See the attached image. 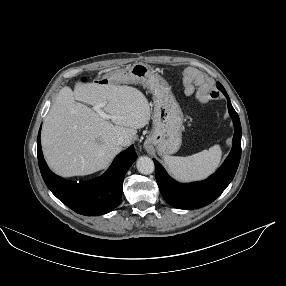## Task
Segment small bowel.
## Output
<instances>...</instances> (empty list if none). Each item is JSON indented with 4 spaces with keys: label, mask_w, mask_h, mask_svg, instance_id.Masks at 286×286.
Returning a JSON list of instances; mask_svg holds the SVG:
<instances>
[{
    "label": "small bowel",
    "mask_w": 286,
    "mask_h": 286,
    "mask_svg": "<svg viewBox=\"0 0 286 286\" xmlns=\"http://www.w3.org/2000/svg\"><path fill=\"white\" fill-rule=\"evenodd\" d=\"M186 75L189 78V80H193V81H202L203 80V76L191 68L186 70ZM187 86L189 87V90H187L186 93L191 94L193 91L192 83L188 82ZM211 97H213V96H211Z\"/></svg>",
    "instance_id": "obj_1"
}]
</instances>
